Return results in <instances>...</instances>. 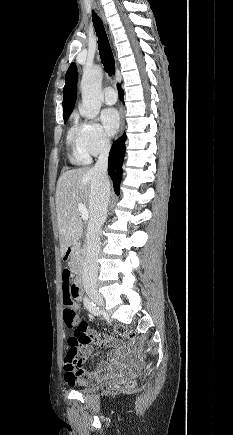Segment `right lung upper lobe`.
Listing matches in <instances>:
<instances>
[{
	"label": "right lung upper lobe",
	"mask_w": 233,
	"mask_h": 435,
	"mask_svg": "<svg viewBox=\"0 0 233 435\" xmlns=\"http://www.w3.org/2000/svg\"><path fill=\"white\" fill-rule=\"evenodd\" d=\"M77 70L73 63L65 75V86L63 88V116H69L73 110L76 101L77 91Z\"/></svg>",
	"instance_id": "right-lung-upper-lobe-1"
}]
</instances>
